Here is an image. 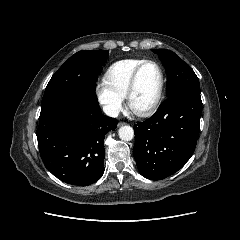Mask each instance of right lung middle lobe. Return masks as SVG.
Masks as SVG:
<instances>
[{"instance_id":"right-lung-middle-lobe-1","label":"right lung middle lobe","mask_w":240,"mask_h":240,"mask_svg":"<svg viewBox=\"0 0 240 240\" xmlns=\"http://www.w3.org/2000/svg\"><path fill=\"white\" fill-rule=\"evenodd\" d=\"M107 57V50H84L72 55L50 79L41 106L63 98L97 100L96 79Z\"/></svg>"}]
</instances>
